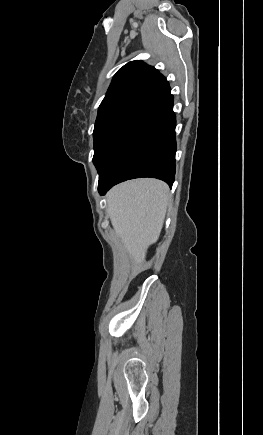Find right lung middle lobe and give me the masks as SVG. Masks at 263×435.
Segmentation results:
<instances>
[{"label":"right lung middle lobe","instance_id":"right-lung-middle-lobe-1","mask_svg":"<svg viewBox=\"0 0 263 435\" xmlns=\"http://www.w3.org/2000/svg\"><path fill=\"white\" fill-rule=\"evenodd\" d=\"M143 106L120 103L99 108L93 132V162L99 173L110 160L122 134Z\"/></svg>","mask_w":263,"mask_h":435}]
</instances>
